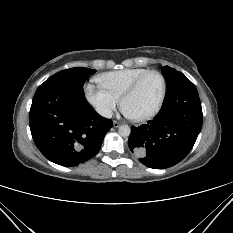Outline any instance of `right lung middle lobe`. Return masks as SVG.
<instances>
[{
    "label": "right lung middle lobe",
    "instance_id": "dd1d6c3e",
    "mask_svg": "<svg viewBox=\"0 0 233 233\" xmlns=\"http://www.w3.org/2000/svg\"><path fill=\"white\" fill-rule=\"evenodd\" d=\"M95 72L96 70L88 68H71L54 74L49 78V80H60L83 86L87 78L90 77V75H93Z\"/></svg>",
    "mask_w": 233,
    "mask_h": 233
}]
</instances>
